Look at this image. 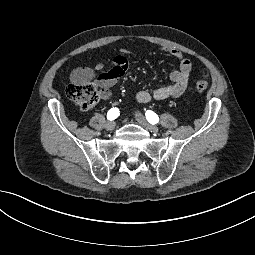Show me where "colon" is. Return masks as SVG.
Returning a JSON list of instances; mask_svg holds the SVG:
<instances>
[{
  "label": "colon",
  "mask_w": 255,
  "mask_h": 255,
  "mask_svg": "<svg viewBox=\"0 0 255 255\" xmlns=\"http://www.w3.org/2000/svg\"><path fill=\"white\" fill-rule=\"evenodd\" d=\"M207 80H197L195 87L199 91H204L208 88ZM67 97L83 110L93 108L99 100V91L92 84H76L71 83L66 88Z\"/></svg>",
  "instance_id": "obj_1"
}]
</instances>
